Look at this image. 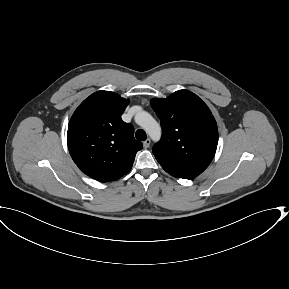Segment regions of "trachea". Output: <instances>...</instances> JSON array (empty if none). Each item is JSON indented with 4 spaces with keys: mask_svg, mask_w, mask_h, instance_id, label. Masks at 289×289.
Returning a JSON list of instances; mask_svg holds the SVG:
<instances>
[{
    "mask_svg": "<svg viewBox=\"0 0 289 289\" xmlns=\"http://www.w3.org/2000/svg\"><path fill=\"white\" fill-rule=\"evenodd\" d=\"M135 136L140 141H145L147 137L146 132L143 129H138L135 133Z\"/></svg>",
    "mask_w": 289,
    "mask_h": 289,
    "instance_id": "obj_1",
    "label": "trachea"
}]
</instances>
